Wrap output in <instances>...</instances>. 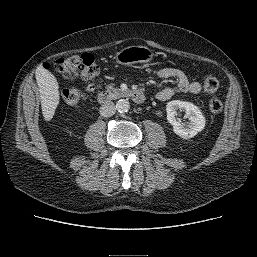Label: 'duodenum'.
<instances>
[{
	"instance_id": "obj_1",
	"label": "duodenum",
	"mask_w": 257,
	"mask_h": 257,
	"mask_svg": "<svg viewBox=\"0 0 257 257\" xmlns=\"http://www.w3.org/2000/svg\"><path fill=\"white\" fill-rule=\"evenodd\" d=\"M126 95L137 104H142L145 101V95L140 90L127 91ZM98 101L100 104H103V105L108 104L111 101V94L106 91L101 92L98 95Z\"/></svg>"
}]
</instances>
